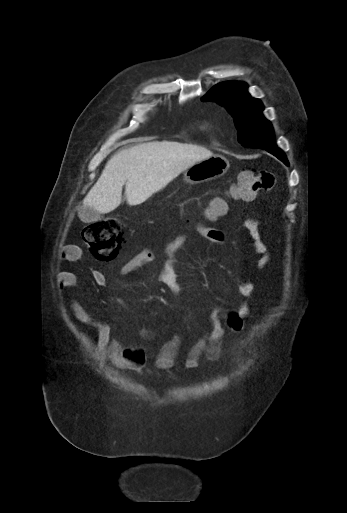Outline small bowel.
<instances>
[{"mask_svg":"<svg viewBox=\"0 0 347 513\" xmlns=\"http://www.w3.org/2000/svg\"><path fill=\"white\" fill-rule=\"evenodd\" d=\"M259 225V221L255 218H247L243 222V226L251 239L253 251L261 255L258 267L264 269L269 264L271 256L267 244L261 236ZM191 238L222 244L225 241V233L218 228L199 225L194 228L191 235L182 234L165 247L158 276L160 281L175 295L181 293V287L173 268L175 255ZM80 252V248L77 246L67 247L62 250L63 259L72 261L80 255ZM154 259L155 255L151 250L143 249L122 266L121 274H132L139 268L153 262ZM92 279L98 286L106 285V277L101 271H94ZM56 284L61 289H76L78 286L76 276L68 271H60L56 275ZM236 290L242 298H249L255 294L256 287L253 282L242 279L238 282ZM71 308L74 317L80 323L90 326L96 331L94 355L97 360L111 361L118 368L130 371H139L144 368L147 356L142 345L124 346L119 340L111 337V327L107 323L95 320L79 302L73 301ZM250 313V307L245 300L240 301L235 308L211 307L207 330L188 350L184 367L186 369L198 368L203 356L210 361H217L220 357L221 343L225 334L242 331L244 321ZM137 335L141 340L152 341L156 337V331L146 328L140 330ZM180 339L179 335H175L161 347L154 360V365L158 370L167 371L176 365Z\"/></svg>","mask_w":347,"mask_h":513,"instance_id":"1","label":"small bowel"}]
</instances>
